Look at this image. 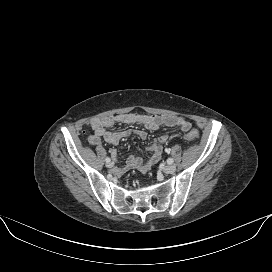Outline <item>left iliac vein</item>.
I'll return each instance as SVG.
<instances>
[{"label": "left iliac vein", "mask_w": 272, "mask_h": 272, "mask_svg": "<svg viewBox=\"0 0 272 272\" xmlns=\"http://www.w3.org/2000/svg\"><path fill=\"white\" fill-rule=\"evenodd\" d=\"M175 171H176V166L173 164H168L163 167V172L166 174H171V173H174Z\"/></svg>", "instance_id": "obj_1"}]
</instances>
